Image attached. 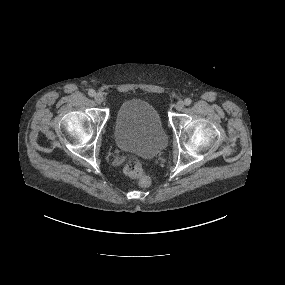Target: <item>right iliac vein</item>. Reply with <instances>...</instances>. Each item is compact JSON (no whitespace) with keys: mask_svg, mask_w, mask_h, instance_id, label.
Returning <instances> with one entry per match:
<instances>
[{"mask_svg":"<svg viewBox=\"0 0 285 285\" xmlns=\"http://www.w3.org/2000/svg\"><path fill=\"white\" fill-rule=\"evenodd\" d=\"M95 102L98 103V104H101L103 101H104V97L101 93H97L95 95Z\"/></svg>","mask_w":285,"mask_h":285,"instance_id":"obj_1","label":"right iliac vein"}]
</instances>
